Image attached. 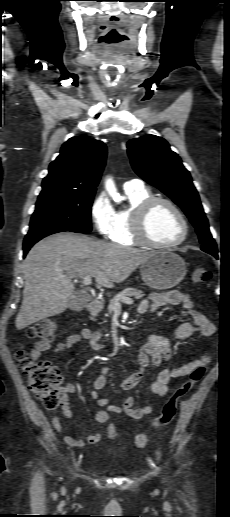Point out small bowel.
<instances>
[{
  "mask_svg": "<svg viewBox=\"0 0 230 517\" xmlns=\"http://www.w3.org/2000/svg\"><path fill=\"white\" fill-rule=\"evenodd\" d=\"M167 305H182L183 310L181 315L190 317L192 321L182 323L176 329L172 337L157 334L146 335L138 354L139 368L135 373L117 383L120 389L125 391L133 389L140 382L147 368H157L164 362L169 361L172 357V348L176 343L194 336L211 337L216 333L215 325L195 307L190 295L187 293L178 291L152 293L147 299L140 302L138 311L140 313H146ZM101 337V333L92 331L89 328H83L79 333L67 336L52 349L49 342L38 341L34 344L31 354L39 358L43 353L49 350H51L53 354H56L82 342H87L94 350H102L105 348V344L101 342ZM210 361V353H205L199 359L188 361L181 366L166 367L158 373L157 378L151 383L150 390L158 396H166L169 393V384L173 378L184 377L191 373L196 367L205 366L209 364ZM108 377V368H103L100 375L96 377L92 383L93 390L90 392V396L96 401L99 407L94 414V421L96 423H106L110 413H123L131 418L141 419L153 412L151 405L134 408L135 400L133 397H127L120 405L113 404L107 406L108 400L101 397L98 390L106 386ZM75 392L76 385L74 383H67L65 385V394L61 400V411L63 416L68 419L73 417V411L69 404V396ZM51 423L57 432L64 433L62 423L56 413L52 414ZM111 427L112 426L109 428ZM101 439L102 434L100 432L92 433L84 439L75 438L68 434H64L63 436L64 442L72 447L93 445L100 442Z\"/></svg>",
  "mask_w": 230,
  "mask_h": 517,
  "instance_id": "c3829d8e",
  "label": "small bowel"
}]
</instances>
